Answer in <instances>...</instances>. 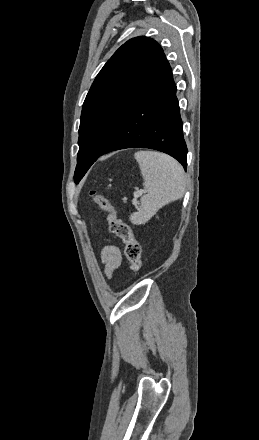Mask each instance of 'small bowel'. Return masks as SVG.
<instances>
[{"label":"small bowel","mask_w":259,"mask_h":440,"mask_svg":"<svg viewBox=\"0 0 259 440\" xmlns=\"http://www.w3.org/2000/svg\"><path fill=\"white\" fill-rule=\"evenodd\" d=\"M101 259L104 263V271L108 278H111L122 265L121 251L113 244H108L103 248Z\"/></svg>","instance_id":"obj_1"}]
</instances>
